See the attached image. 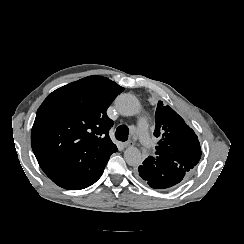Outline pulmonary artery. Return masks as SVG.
Segmentation results:
<instances>
[{
    "label": "pulmonary artery",
    "mask_w": 244,
    "mask_h": 244,
    "mask_svg": "<svg viewBox=\"0 0 244 244\" xmlns=\"http://www.w3.org/2000/svg\"><path fill=\"white\" fill-rule=\"evenodd\" d=\"M138 123H137V138L138 144L141 145L143 148H150L151 147V139L147 136L146 128L148 125V113L147 112H140L138 116Z\"/></svg>",
    "instance_id": "e3ab8cb5"
}]
</instances>
